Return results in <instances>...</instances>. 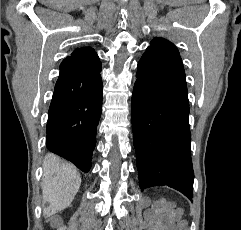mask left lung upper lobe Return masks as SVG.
<instances>
[{"mask_svg": "<svg viewBox=\"0 0 241 230\" xmlns=\"http://www.w3.org/2000/svg\"><path fill=\"white\" fill-rule=\"evenodd\" d=\"M144 54L184 69L177 47L164 38H154Z\"/></svg>", "mask_w": 241, "mask_h": 230, "instance_id": "1", "label": "left lung upper lobe"}]
</instances>
